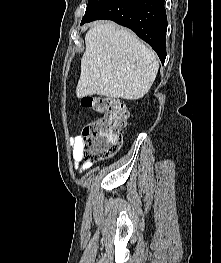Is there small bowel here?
<instances>
[{"mask_svg": "<svg viewBox=\"0 0 221 263\" xmlns=\"http://www.w3.org/2000/svg\"><path fill=\"white\" fill-rule=\"evenodd\" d=\"M70 145L72 149V156L75 161V167L78 168V164L83 161V164L79 167V171L83 172L87 169H89L92 166V162L85 160L83 157V137L82 136H76L72 137L70 140Z\"/></svg>", "mask_w": 221, "mask_h": 263, "instance_id": "c3829d8e", "label": "small bowel"}]
</instances>
